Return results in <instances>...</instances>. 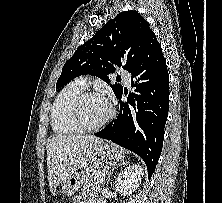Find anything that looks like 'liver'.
<instances>
[{
    "label": "liver",
    "mask_w": 222,
    "mask_h": 203,
    "mask_svg": "<svg viewBox=\"0 0 222 203\" xmlns=\"http://www.w3.org/2000/svg\"><path fill=\"white\" fill-rule=\"evenodd\" d=\"M103 140L88 135H56L47 142V171L50 191L73 173L92 164Z\"/></svg>",
    "instance_id": "liver-1"
}]
</instances>
